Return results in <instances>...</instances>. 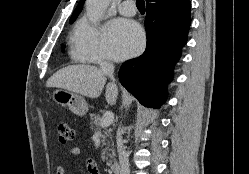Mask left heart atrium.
Listing matches in <instances>:
<instances>
[{
	"mask_svg": "<svg viewBox=\"0 0 249 174\" xmlns=\"http://www.w3.org/2000/svg\"><path fill=\"white\" fill-rule=\"evenodd\" d=\"M143 44V31L134 21L118 18L111 21L105 29V49L113 60H122L138 54Z\"/></svg>",
	"mask_w": 249,
	"mask_h": 174,
	"instance_id": "left-heart-atrium-1",
	"label": "left heart atrium"
}]
</instances>
